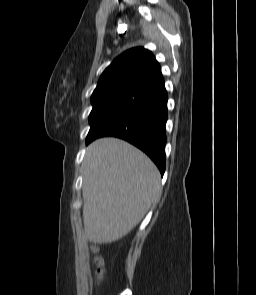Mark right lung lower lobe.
<instances>
[{
  "label": "right lung lower lobe",
  "instance_id": "98d812e1",
  "mask_svg": "<svg viewBox=\"0 0 256 295\" xmlns=\"http://www.w3.org/2000/svg\"><path fill=\"white\" fill-rule=\"evenodd\" d=\"M168 95L163 77L136 96L121 112L110 119L86 144L103 136L122 138L144 151L165 171V124Z\"/></svg>",
  "mask_w": 256,
  "mask_h": 295
}]
</instances>
